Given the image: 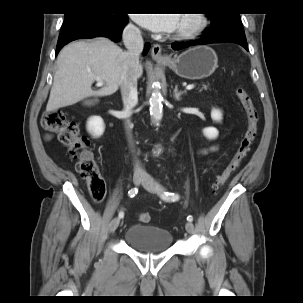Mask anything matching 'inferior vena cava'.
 <instances>
[{"label":"inferior vena cava","mask_w":303,"mask_h":303,"mask_svg":"<svg viewBox=\"0 0 303 303\" xmlns=\"http://www.w3.org/2000/svg\"><path fill=\"white\" fill-rule=\"evenodd\" d=\"M123 42L127 51L123 54L120 88L124 105L126 130L129 136H131L130 130L132 126L129 118L132 109L138 101L137 71L139 68V57L143 51L144 45L140 29L132 24H128L123 30ZM134 173L140 175L144 174V170L138 161L134 165Z\"/></svg>","instance_id":"1"}]
</instances>
